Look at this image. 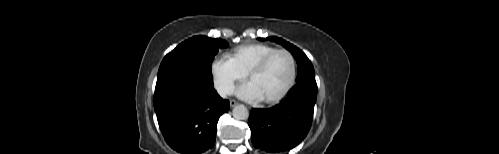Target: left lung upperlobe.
I'll return each instance as SVG.
<instances>
[{
  "label": "left lung upper lobe",
  "mask_w": 499,
  "mask_h": 154,
  "mask_svg": "<svg viewBox=\"0 0 499 154\" xmlns=\"http://www.w3.org/2000/svg\"><path fill=\"white\" fill-rule=\"evenodd\" d=\"M259 40L274 41L281 44L292 53L298 65V76L296 79L297 83L302 81H315L313 65L302 50L278 37L259 38Z\"/></svg>",
  "instance_id": "1"
}]
</instances>
